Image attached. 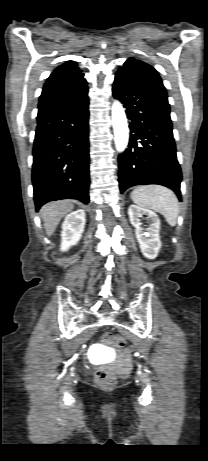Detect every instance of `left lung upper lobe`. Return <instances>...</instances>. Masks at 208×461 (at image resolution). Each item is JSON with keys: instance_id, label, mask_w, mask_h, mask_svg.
<instances>
[{"instance_id": "left-lung-upper-lobe-1", "label": "left lung upper lobe", "mask_w": 208, "mask_h": 461, "mask_svg": "<svg viewBox=\"0 0 208 461\" xmlns=\"http://www.w3.org/2000/svg\"><path fill=\"white\" fill-rule=\"evenodd\" d=\"M117 72L127 74L140 82L165 89L159 73L154 67L142 60L128 58Z\"/></svg>"}]
</instances>
